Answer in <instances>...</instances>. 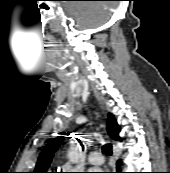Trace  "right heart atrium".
<instances>
[{
    "instance_id": "right-heart-atrium-1",
    "label": "right heart atrium",
    "mask_w": 170,
    "mask_h": 173,
    "mask_svg": "<svg viewBox=\"0 0 170 173\" xmlns=\"http://www.w3.org/2000/svg\"><path fill=\"white\" fill-rule=\"evenodd\" d=\"M64 169V172L63 173H72V171H69L68 169H71L70 167L68 166H65V167H62Z\"/></svg>"
}]
</instances>
